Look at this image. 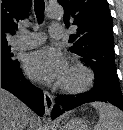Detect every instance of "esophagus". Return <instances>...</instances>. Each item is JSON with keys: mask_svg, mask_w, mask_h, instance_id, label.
Masks as SVG:
<instances>
[{"mask_svg": "<svg viewBox=\"0 0 123 130\" xmlns=\"http://www.w3.org/2000/svg\"><path fill=\"white\" fill-rule=\"evenodd\" d=\"M43 95H44L45 115L49 116L53 108L54 99L53 96L46 90L44 91Z\"/></svg>", "mask_w": 123, "mask_h": 130, "instance_id": "1", "label": "esophagus"}]
</instances>
